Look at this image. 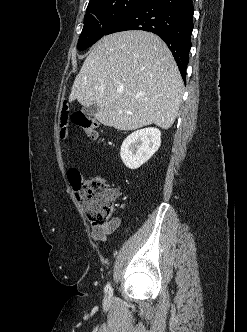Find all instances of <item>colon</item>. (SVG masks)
Wrapping results in <instances>:
<instances>
[{
	"mask_svg": "<svg viewBox=\"0 0 247 332\" xmlns=\"http://www.w3.org/2000/svg\"><path fill=\"white\" fill-rule=\"evenodd\" d=\"M80 127L85 134L97 140L98 122L84 113L69 114L68 104H64L60 116V136L67 137V126L69 122ZM71 185L76 197L80 202L86 216L93 225H104L109 222L113 215L115 198L114 191L109 187L108 180L101 175L91 178H83L77 171L69 174Z\"/></svg>",
	"mask_w": 247,
	"mask_h": 332,
	"instance_id": "1",
	"label": "colon"
}]
</instances>
